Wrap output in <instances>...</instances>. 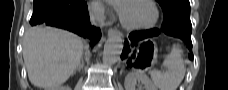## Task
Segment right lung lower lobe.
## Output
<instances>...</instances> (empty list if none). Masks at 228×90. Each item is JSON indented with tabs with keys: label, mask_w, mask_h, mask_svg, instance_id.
Returning a JSON list of instances; mask_svg holds the SVG:
<instances>
[{
	"label": "right lung lower lobe",
	"mask_w": 228,
	"mask_h": 90,
	"mask_svg": "<svg viewBox=\"0 0 228 90\" xmlns=\"http://www.w3.org/2000/svg\"><path fill=\"white\" fill-rule=\"evenodd\" d=\"M33 25H49L89 38L94 45L101 37L99 28L90 25L84 0H34Z\"/></svg>",
	"instance_id": "98d812e1"
}]
</instances>
